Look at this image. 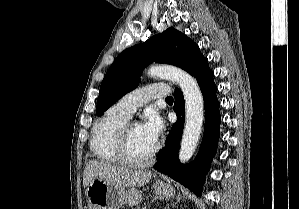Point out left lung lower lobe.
Listing matches in <instances>:
<instances>
[{
    "label": "left lung lower lobe",
    "instance_id": "left-lung-lower-lobe-1",
    "mask_svg": "<svg viewBox=\"0 0 299 209\" xmlns=\"http://www.w3.org/2000/svg\"><path fill=\"white\" fill-rule=\"evenodd\" d=\"M213 75L207 59L193 74L202 91L205 107L204 137L196 159L188 165L177 161L184 126L185 103L182 92L176 88L174 110L177 121L169 131L165 150L159 153L155 164L157 171L169 175L197 195H201L204 178L215 156L219 139L220 104L216 97L217 87Z\"/></svg>",
    "mask_w": 299,
    "mask_h": 209
}]
</instances>
